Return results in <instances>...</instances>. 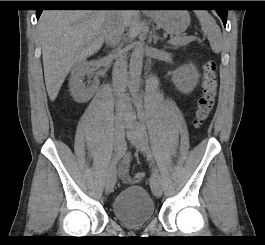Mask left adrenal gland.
I'll return each mask as SVG.
<instances>
[{
	"mask_svg": "<svg viewBox=\"0 0 265 245\" xmlns=\"http://www.w3.org/2000/svg\"><path fill=\"white\" fill-rule=\"evenodd\" d=\"M158 40H160V38L157 36L156 33H154V35H153V43H154V45L158 42Z\"/></svg>",
	"mask_w": 265,
	"mask_h": 245,
	"instance_id": "left-adrenal-gland-1",
	"label": "left adrenal gland"
}]
</instances>
